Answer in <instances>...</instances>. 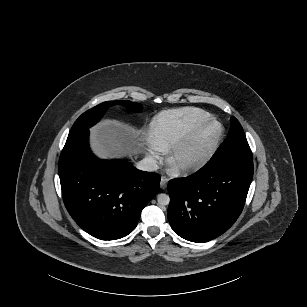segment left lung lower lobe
Here are the masks:
<instances>
[{
  "label": "left lung lower lobe",
  "instance_id": "0a47b994",
  "mask_svg": "<svg viewBox=\"0 0 307 307\" xmlns=\"http://www.w3.org/2000/svg\"><path fill=\"white\" fill-rule=\"evenodd\" d=\"M253 177V161L225 158L196 173L168 183V220L172 229L192 242L210 241L237 220Z\"/></svg>",
  "mask_w": 307,
  "mask_h": 307
}]
</instances>
